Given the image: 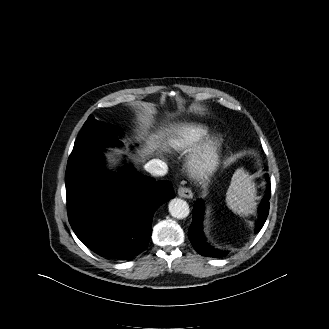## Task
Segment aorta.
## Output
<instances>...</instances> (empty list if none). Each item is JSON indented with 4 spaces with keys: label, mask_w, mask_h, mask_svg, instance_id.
<instances>
[{
    "label": "aorta",
    "mask_w": 329,
    "mask_h": 329,
    "mask_svg": "<svg viewBox=\"0 0 329 329\" xmlns=\"http://www.w3.org/2000/svg\"><path fill=\"white\" fill-rule=\"evenodd\" d=\"M168 209L171 216L177 219H184L190 213L188 203L180 198L172 199L169 202Z\"/></svg>",
    "instance_id": "obj_1"
}]
</instances>
